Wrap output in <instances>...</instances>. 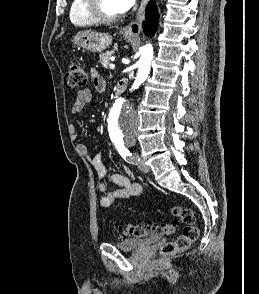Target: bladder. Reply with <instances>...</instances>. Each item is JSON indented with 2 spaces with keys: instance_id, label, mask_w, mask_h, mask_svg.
Listing matches in <instances>:
<instances>
[{
  "instance_id": "obj_1",
  "label": "bladder",
  "mask_w": 259,
  "mask_h": 294,
  "mask_svg": "<svg viewBox=\"0 0 259 294\" xmlns=\"http://www.w3.org/2000/svg\"><path fill=\"white\" fill-rule=\"evenodd\" d=\"M160 239L159 236H153L149 238H129L123 241L114 242L113 244L117 249L125 252L139 251L145 246L156 242Z\"/></svg>"
}]
</instances>
